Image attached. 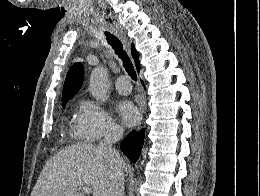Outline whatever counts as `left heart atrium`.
Returning <instances> with one entry per match:
<instances>
[{
    "label": "left heart atrium",
    "mask_w": 260,
    "mask_h": 196,
    "mask_svg": "<svg viewBox=\"0 0 260 196\" xmlns=\"http://www.w3.org/2000/svg\"><path fill=\"white\" fill-rule=\"evenodd\" d=\"M118 111L125 125H134L139 119V113L132 102L124 100L118 105ZM121 190H108V192H120Z\"/></svg>",
    "instance_id": "obj_1"
}]
</instances>
